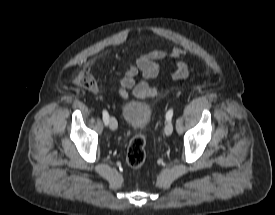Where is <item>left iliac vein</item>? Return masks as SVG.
<instances>
[{
    "label": "left iliac vein",
    "mask_w": 275,
    "mask_h": 215,
    "mask_svg": "<svg viewBox=\"0 0 275 215\" xmlns=\"http://www.w3.org/2000/svg\"><path fill=\"white\" fill-rule=\"evenodd\" d=\"M164 132L167 136H170L173 132V124L171 121H168V123L165 126Z\"/></svg>",
    "instance_id": "4c4485c4"
}]
</instances>
